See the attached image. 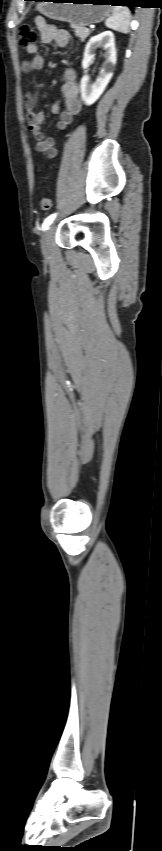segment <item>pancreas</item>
Listing matches in <instances>:
<instances>
[{
  "instance_id": "pancreas-1",
  "label": "pancreas",
  "mask_w": 162,
  "mask_h": 851,
  "mask_svg": "<svg viewBox=\"0 0 162 851\" xmlns=\"http://www.w3.org/2000/svg\"><path fill=\"white\" fill-rule=\"evenodd\" d=\"M71 28L74 30L75 35L83 42L90 35V30L86 31L85 27H80L74 24H71Z\"/></svg>"
}]
</instances>
